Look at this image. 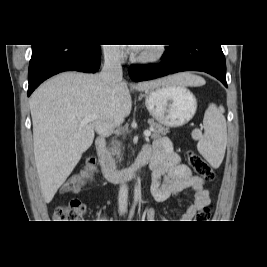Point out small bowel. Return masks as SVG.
<instances>
[{
    "label": "small bowel",
    "instance_id": "1",
    "mask_svg": "<svg viewBox=\"0 0 267 267\" xmlns=\"http://www.w3.org/2000/svg\"><path fill=\"white\" fill-rule=\"evenodd\" d=\"M140 156L148 157L151 160V192L156 201L164 202L186 189L194 192L192 204L182 214L183 222H189L197 211L210 204L209 192L203 180L193 175L191 170L181 163L180 156L174 151L167 138L154 140L152 145L145 147ZM82 185L83 181L77 180L70 191L76 192ZM153 216V210H148L146 218L151 220Z\"/></svg>",
    "mask_w": 267,
    "mask_h": 267
}]
</instances>
